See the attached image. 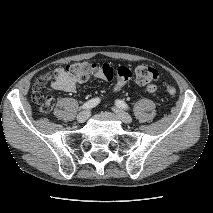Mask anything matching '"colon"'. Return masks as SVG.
Listing matches in <instances>:
<instances>
[{"mask_svg": "<svg viewBox=\"0 0 213 213\" xmlns=\"http://www.w3.org/2000/svg\"><path fill=\"white\" fill-rule=\"evenodd\" d=\"M67 73L78 82H86L92 79L103 78L109 81L116 80L115 91H119L128 80L134 78L138 85L150 87L159 78L158 71L151 65L140 64L133 66H120L113 69L107 65H98L89 62H76L68 66ZM49 76L41 77L34 85L32 99L39 105L42 112H49L53 106V98L44 92ZM168 94L174 96L177 93L175 87L166 85Z\"/></svg>", "mask_w": 213, "mask_h": 213, "instance_id": "5ec220e1", "label": "colon"}]
</instances>
